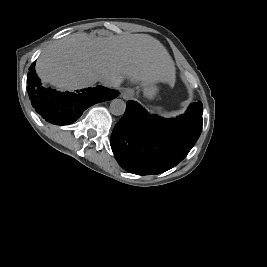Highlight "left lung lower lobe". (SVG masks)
<instances>
[{
  "label": "left lung lower lobe",
  "mask_w": 267,
  "mask_h": 267,
  "mask_svg": "<svg viewBox=\"0 0 267 267\" xmlns=\"http://www.w3.org/2000/svg\"><path fill=\"white\" fill-rule=\"evenodd\" d=\"M202 123L201 102L191 104L178 118L163 119L128 101L111 134V148L125 170L138 175L159 174L185 158L200 135Z\"/></svg>",
  "instance_id": "left-lung-lower-lobe-1"
}]
</instances>
